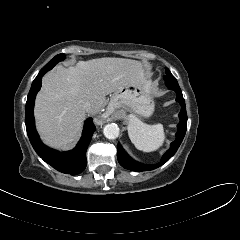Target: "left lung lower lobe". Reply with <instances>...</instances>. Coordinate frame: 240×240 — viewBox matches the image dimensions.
<instances>
[{
	"label": "left lung lower lobe",
	"instance_id": "left-lung-lower-lobe-1",
	"mask_svg": "<svg viewBox=\"0 0 240 240\" xmlns=\"http://www.w3.org/2000/svg\"><path fill=\"white\" fill-rule=\"evenodd\" d=\"M166 85L169 89L174 90L177 93L176 101L181 104V111L179 114L180 123L178 124V132L176 133V140L171 143V147L163 155L162 160L157 165H144L133 160L123 149L120 144L117 145V158L122 167L132 171H148L160 167L162 164L167 162L179 148L187 129V114L185 101L181 92V89L177 81H166Z\"/></svg>",
	"mask_w": 240,
	"mask_h": 240
}]
</instances>
